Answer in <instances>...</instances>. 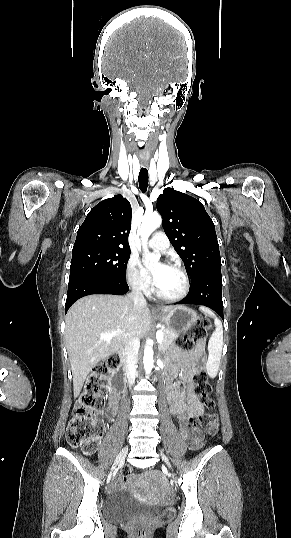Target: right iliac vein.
<instances>
[{
    "label": "right iliac vein",
    "instance_id": "1",
    "mask_svg": "<svg viewBox=\"0 0 291 538\" xmlns=\"http://www.w3.org/2000/svg\"><path fill=\"white\" fill-rule=\"evenodd\" d=\"M127 452H128V448H127V447H124V448L120 451V453L118 454V456H117L116 459H115V462H114V464H113V468H115L120 462H122V461L125 459V457H126V455H127Z\"/></svg>",
    "mask_w": 291,
    "mask_h": 538
}]
</instances>
